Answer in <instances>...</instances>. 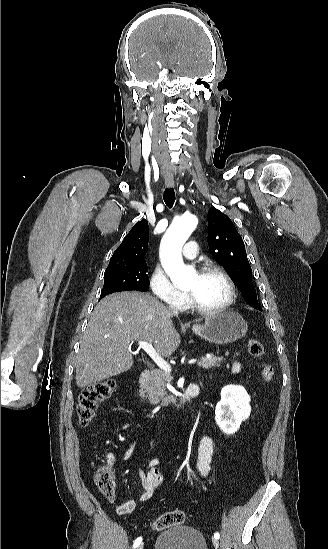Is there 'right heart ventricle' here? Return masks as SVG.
Here are the masks:
<instances>
[{
  "label": "right heart ventricle",
  "mask_w": 328,
  "mask_h": 549,
  "mask_svg": "<svg viewBox=\"0 0 328 549\" xmlns=\"http://www.w3.org/2000/svg\"><path fill=\"white\" fill-rule=\"evenodd\" d=\"M180 303H181V308H182V307L186 304V301L183 300V301H181Z\"/></svg>",
  "instance_id": "right-heart-ventricle-1"
}]
</instances>
